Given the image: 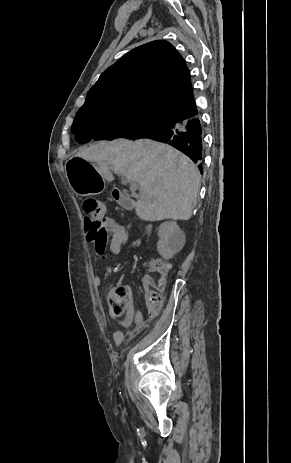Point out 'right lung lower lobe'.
I'll use <instances>...</instances> for the list:
<instances>
[{"instance_id": "obj_1", "label": "right lung lower lobe", "mask_w": 291, "mask_h": 463, "mask_svg": "<svg viewBox=\"0 0 291 463\" xmlns=\"http://www.w3.org/2000/svg\"><path fill=\"white\" fill-rule=\"evenodd\" d=\"M140 138H150L175 147L197 163L202 173L203 132L198 116L188 120L181 116L165 117L162 126L144 133Z\"/></svg>"}]
</instances>
